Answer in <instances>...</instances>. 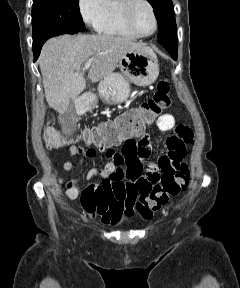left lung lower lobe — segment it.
<instances>
[{"mask_svg":"<svg viewBox=\"0 0 240 288\" xmlns=\"http://www.w3.org/2000/svg\"><path fill=\"white\" fill-rule=\"evenodd\" d=\"M167 51L170 53L173 59H177V51L178 47H170V46H164Z\"/></svg>","mask_w":240,"mask_h":288,"instance_id":"0a47b994","label":"left lung lower lobe"}]
</instances>
